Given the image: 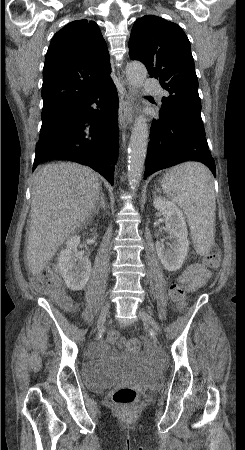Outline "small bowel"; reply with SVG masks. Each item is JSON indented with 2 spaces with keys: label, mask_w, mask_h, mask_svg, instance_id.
I'll list each match as a JSON object with an SVG mask.
<instances>
[{
  "label": "small bowel",
  "mask_w": 245,
  "mask_h": 450,
  "mask_svg": "<svg viewBox=\"0 0 245 450\" xmlns=\"http://www.w3.org/2000/svg\"><path fill=\"white\" fill-rule=\"evenodd\" d=\"M211 272L201 266H190L179 278L189 288L200 287L210 278Z\"/></svg>",
  "instance_id": "small-bowel-1"
}]
</instances>
